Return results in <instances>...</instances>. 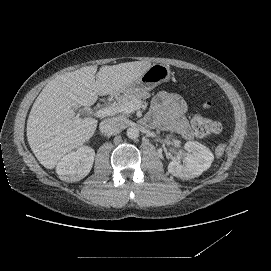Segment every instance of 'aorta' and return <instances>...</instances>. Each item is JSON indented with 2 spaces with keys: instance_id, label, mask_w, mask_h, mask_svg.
Returning <instances> with one entry per match:
<instances>
[{
  "instance_id": "762f6f07",
  "label": "aorta",
  "mask_w": 271,
  "mask_h": 271,
  "mask_svg": "<svg viewBox=\"0 0 271 271\" xmlns=\"http://www.w3.org/2000/svg\"><path fill=\"white\" fill-rule=\"evenodd\" d=\"M139 130L135 126H130L127 128L126 135L130 139H136L139 136Z\"/></svg>"
}]
</instances>
